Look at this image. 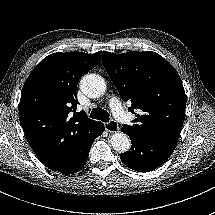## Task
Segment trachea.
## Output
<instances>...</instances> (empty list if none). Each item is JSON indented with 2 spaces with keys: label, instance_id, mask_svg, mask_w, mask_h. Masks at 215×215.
Segmentation results:
<instances>
[{
  "label": "trachea",
  "instance_id": "trachea-1",
  "mask_svg": "<svg viewBox=\"0 0 215 215\" xmlns=\"http://www.w3.org/2000/svg\"><path fill=\"white\" fill-rule=\"evenodd\" d=\"M90 117L103 122H108L110 118L108 112L100 107L94 108L90 113Z\"/></svg>",
  "mask_w": 215,
  "mask_h": 215
}]
</instances>
